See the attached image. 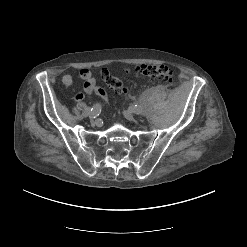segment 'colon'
<instances>
[{
  "label": "colon",
  "instance_id": "5ec220e1",
  "mask_svg": "<svg viewBox=\"0 0 247 247\" xmlns=\"http://www.w3.org/2000/svg\"><path fill=\"white\" fill-rule=\"evenodd\" d=\"M128 72H135L164 86L171 85L174 80V74L172 70L165 65H140L134 69H128ZM101 75L106 84L114 91L119 93H124L126 91V87L122 80L110 75L108 70H102ZM95 92L104 101H107V93L103 88H97Z\"/></svg>",
  "mask_w": 247,
  "mask_h": 247
}]
</instances>
